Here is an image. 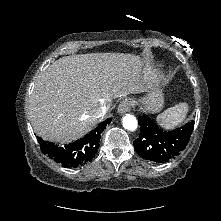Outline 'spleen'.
<instances>
[{"mask_svg": "<svg viewBox=\"0 0 221 221\" xmlns=\"http://www.w3.org/2000/svg\"><path fill=\"white\" fill-rule=\"evenodd\" d=\"M188 111V104L182 102L166 109L157 116L156 121L165 129H173L184 121Z\"/></svg>", "mask_w": 221, "mask_h": 221, "instance_id": "spleen-1", "label": "spleen"}]
</instances>
